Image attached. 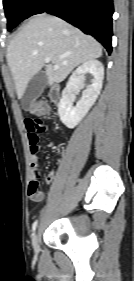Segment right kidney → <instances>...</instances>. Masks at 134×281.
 <instances>
[{"mask_svg":"<svg viewBox=\"0 0 134 281\" xmlns=\"http://www.w3.org/2000/svg\"><path fill=\"white\" fill-rule=\"evenodd\" d=\"M86 73H91L93 79L74 107L73 101L75 97L73 92L84 88ZM103 78L104 67L100 61L95 59L84 62L72 73L65 89L62 91V97L58 104L60 120L66 127L74 128L88 113L100 94Z\"/></svg>","mask_w":134,"mask_h":281,"instance_id":"right-kidney-1","label":"right kidney"}]
</instances>
